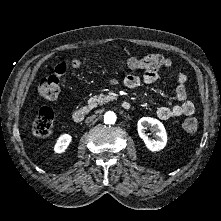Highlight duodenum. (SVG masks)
Instances as JSON below:
<instances>
[{
    "label": "duodenum",
    "instance_id": "410a0bca",
    "mask_svg": "<svg viewBox=\"0 0 221 221\" xmlns=\"http://www.w3.org/2000/svg\"><path fill=\"white\" fill-rule=\"evenodd\" d=\"M121 106H122L123 109L128 110V109H130L131 104H130L128 101H123L122 104H121ZM89 113H90L89 108L86 107V106H83V107H80V108L76 109V110L73 112L72 117H73L74 121L80 122V121H82Z\"/></svg>",
    "mask_w": 221,
    "mask_h": 221
}]
</instances>
